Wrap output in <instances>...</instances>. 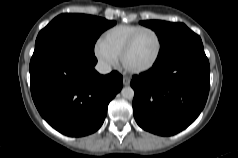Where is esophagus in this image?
Here are the masks:
<instances>
[{
  "mask_svg": "<svg viewBox=\"0 0 238 158\" xmlns=\"http://www.w3.org/2000/svg\"><path fill=\"white\" fill-rule=\"evenodd\" d=\"M123 84H124L125 86H128V85L130 84V79H129L128 77H124V78H123Z\"/></svg>",
  "mask_w": 238,
  "mask_h": 158,
  "instance_id": "1",
  "label": "esophagus"
}]
</instances>
